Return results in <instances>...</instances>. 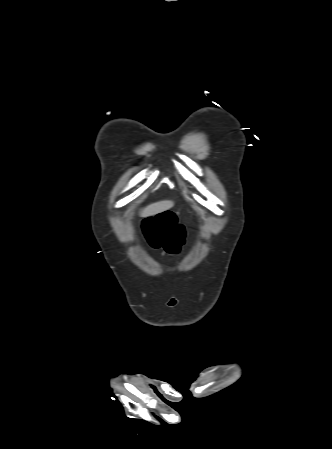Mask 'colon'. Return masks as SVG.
I'll list each match as a JSON object with an SVG mask.
<instances>
[{"instance_id": "5ec220e1", "label": "colon", "mask_w": 332, "mask_h": 449, "mask_svg": "<svg viewBox=\"0 0 332 449\" xmlns=\"http://www.w3.org/2000/svg\"><path fill=\"white\" fill-rule=\"evenodd\" d=\"M147 241L153 249L163 248L169 254H177L186 238V229L172 212H162L143 221Z\"/></svg>"}]
</instances>
